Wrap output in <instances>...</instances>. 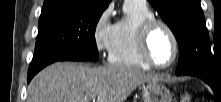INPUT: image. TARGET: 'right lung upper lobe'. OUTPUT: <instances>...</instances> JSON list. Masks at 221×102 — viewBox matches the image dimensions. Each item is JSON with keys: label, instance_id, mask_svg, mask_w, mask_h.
Wrapping results in <instances>:
<instances>
[{"label": "right lung upper lobe", "instance_id": "right-lung-upper-lobe-1", "mask_svg": "<svg viewBox=\"0 0 221 102\" xmlns=\"http://www.w3.org/2000/svg\"><path fill=\"white\" fill-rule=\"evenodd\" d=\"M85 2L91 7H106L110 0H44L42 10L63 7L77 2Z\"/></svg>", "mask_w": 221, "mask_h": 102}]
</instances>
